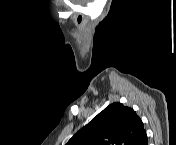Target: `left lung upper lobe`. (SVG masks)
Listing matches in <instances>:
<instances>
[{
    "label": "left lung upper lobe",
    "instance_id": "obj_1",
    "mask_svg": "<svg viewBox=\"0 0 176 145\" xmlns=\"http://www.w3.org/2000/svg\"><path fill=\"white\" fill-rule=\"evenodd\" d=\"M145 135L135 111L116 102L80 129L67 145H140Z\"/></svg>",
    "mask_w": 176,
    "mask_h": 145
}]
</instances>
